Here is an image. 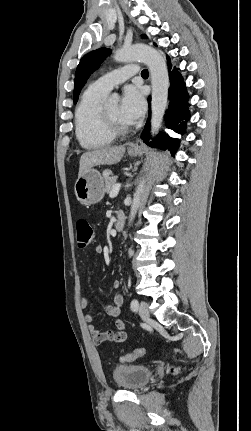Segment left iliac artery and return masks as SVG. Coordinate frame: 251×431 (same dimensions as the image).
Returning a JSON list of instances; mask_svg holds the SVG:
<instances>
[{
    "label": "left iliac artery",
    "mask_w": 251,
    "mask_h": 431,
    "mask_svg": "<svg viewBox=\"0 0 251 431\" xmlns=\"http://www.w3.org/2000/svg\"><path fill=\"white\" fill-rule=\"evenodd\" d=\"M139 307V303L136 299H133L130 304V308L132 311H137Z\"/></svg>",
    "instance_id": "obj_1"
}]
</instances>
